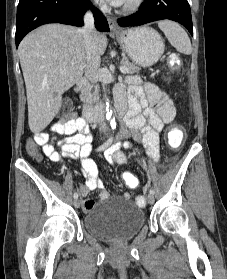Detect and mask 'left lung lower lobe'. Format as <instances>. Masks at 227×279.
Segmentation results:
<instances>
[{"label": "left lung lower lobe", "mask_w": 227, "mask_h": 279, "mask_svg": "<svg viewBox=\"0 0 227 279\" xmlns=\"http://www.w3.org/2000/svg\"><path fill=\"white\" fill-rule=\"evenodd\" d=\"M162 19L182 24L193 35L191 10L187 0H144L135 14L118 19V24L122 27L138 26Z\"/></svg>", "instance_id": "1"}]
</instances>
